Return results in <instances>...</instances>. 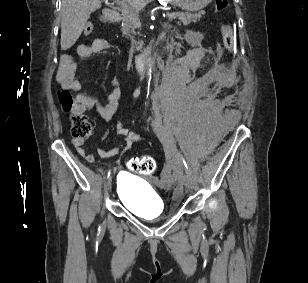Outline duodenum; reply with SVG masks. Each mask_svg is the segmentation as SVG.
<instances>
[{"instance_id":"duodenum-1","label":"duodenum","mask_w":308,"mask_h":283,"mask_svg":"<svg viewBox=\"0 0 308 283\" xmlns=\"http://www.w3.org/2000/svg\"><path fill=\"white\" fill-rule=\"evenodd\" d=\"M121 20V14L118 11H109L105 15V21L111 22V23H116ZM145 53H140L136 56L135 59V66L138 71H141L144 67L145 63Z\"/></svg>"}]
</instances>
